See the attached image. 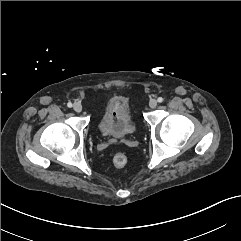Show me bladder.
Wrapping results in <instances>:
<instances>
[{
	"label": "bladder",
	"mask_w": 241,
	"mask_h": 241,
	"mask_svg": "<svg viewBox=\"0 0 241 241\" xmlns=\"http://www.w3.org/2000/svg\"><path fill=\"white\" fill-rule=\"evenodd\" d=\"M101 134L114 138L124 139L131 137L136 130L128 101L116 96L110 99L98 123Z\"/></svg>",
	"instance_id": "obj_1"
}]
</instances>
